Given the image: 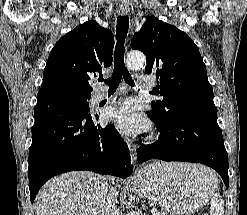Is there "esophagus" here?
<instances>
[{
  "instance_id": "obj_1",
  "label": "esophagus",
  "mask_w": 247,
  "mask_h": 215,
  "mask_svg": "<svg viewBox=\"0 0 247 215\" xmlns=\"http://www.w3.org/2000/svg\"><path fill=\"white\" fill-rule=\"evenodd\" d=\"M128 9L126 8H121L118 10V13L122 16H125L128 14ZM137 149H138V145L134 142H130L129 143V150L131 153V159L133 161V163H136V159H137Z\"/></svg>"
}]
</instances>
